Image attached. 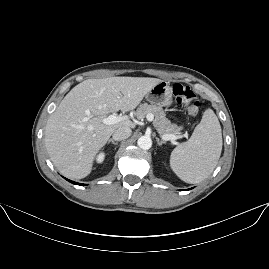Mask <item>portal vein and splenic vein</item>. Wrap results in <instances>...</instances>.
Instances as JSON below:
<instances>
[{
  "label": "portal vein and splenic vein",
  "instance_id": "18ae733b",
  "mask_svg": "<svg viewBox=\"0 0 269 269\" xmlns=\"http://www.w3.org/2000/svg\"><path fill=\"white\" fill-rule=\"evenodd\" d=\"M146 118H147L148 121H153V119H154L152 113H148L146 115ZM126 119H128V117L126 115L120 117V116H116V115L112 114V115H109L107 118H105L103 120V123L107 124V125H111V124H116L117 122L122 121V120H126ZM184 137H187V136H184ZM161 138L164 141H175L177 139L182 138V136H177V135H174V134H164V135L161 136Z\"/></svg>",
  "mask_w": 269,
  "mask_h": 269
}]
</instances>
